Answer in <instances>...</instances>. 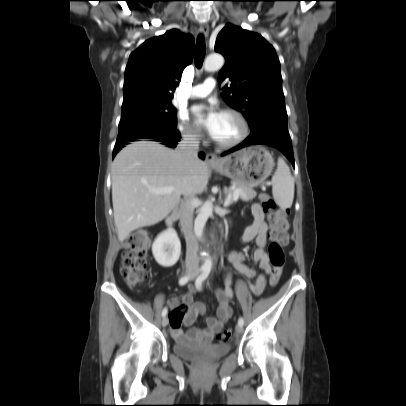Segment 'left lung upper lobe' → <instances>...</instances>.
<instances>
[{"label": "left lung upper lobe", "mask_w": 406, "mask_h": 406, "mask_svg": "<svg viewBox=\"0 0 406 406\" xmlns=\"http://www.w3.org/2000/svg\"><path fill=\"white\" fill-rule=\"evenodd\" d=\"M215 51L226 62L218 75L223 100L247 118L251 134H288L280 62L275 49L261 35L227 24L218 34Z\"/></svg>", "instance_id": "1"}]
</instances>
